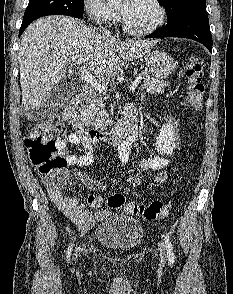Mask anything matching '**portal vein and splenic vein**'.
I'll return each instance as SVG.
<instances>
[{
    "mask_svg": "<svg viewBox=\"0 0 233 294\" xmlns=\"http://www.w3.org/2000/svg\"><path fill=\"white\" fill-rule=\"evenodd\" d=\"M78 74H79L80 78L83 81L90 84L98 92H100V93L101 92H103V93L106 92V87L102 83L98 82L95 79V77L90 74V72L88 71V69H87V67L85 65L80 67V69L78 70ZM142 79H143L142 76H138L133 81V83H132V85L130 87V90L134 91Z\"/></svg>",
    "mask_w": 233,
    "mask_h": 294,
    "instance_id": "portal-vein-and-splenic-vein-1",
    "label": "portal vein and splenic vein"
}]
</instances>
